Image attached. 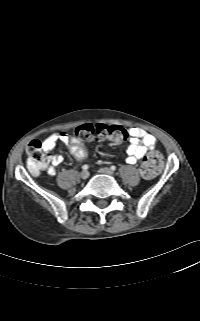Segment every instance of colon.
Instances as JSON below:
<instances>
[{
  "instance_id": "1",
  "label": "colon",
  "mask_w": 200,
  "mask_h": 321,
  "mask_svg": "<svg viewBox=\"0 0 200 321\" xmlns=\"http://www.w3.org/2000/svg\"><path fill=\"white\" fill-rule=\"evenodd\" d=\"M76 139L80 141L108 140L121 143L127 139V130L120 126L104 124H86L75 130ZM69 153L78 162H84L89 157L88 148L83 143H74L69 148ZM28 168L33 174L40 173L47 165L49 157L43 148L42 142L33 140L28 148ZM163 167V157L158 151H150L140 167L141 175L146 179L157 176Z\"/></svg>"
}]
</instances>
